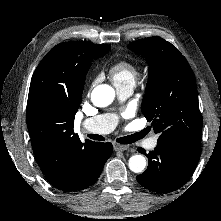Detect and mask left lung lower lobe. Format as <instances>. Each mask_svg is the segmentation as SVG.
<instances>
[{"label": "left lung lower lobe", "mask_w": 221, "mask_h": 221, "mask_svg": "<svg viewBox=\"0 0 221 221\" xmlns=\"http://www.w3.org/2000/svg\"><path fill=\"white\" fill-rule=\"evenodd\" d=\"M147 170L136 177L143 187L159 193H168L180 188L192 175L201 154L199 145L157 142L154 151L146 154Z\"/></svg>", "instance_id": "1"}]
</instances>
